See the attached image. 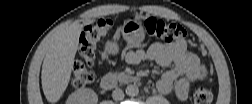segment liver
Returning <instances> with one entry per match:
<instances>
[{
	"instance_id": "6515ba94",
	"label": "liver",
	"mask_w": 252,
	"mask_h": 104,
	"mask_svg": "<svg viewBox=\"0 0 252 104\" xmlns=\"http://www.w3.org/2000/svg\"><path fill=\"white\" fill-rule=\"evenodd\" d=\"M94 21L95 19H89L83 24L76 21L58 29L54 34L47 48L41 72L42 88L48 102H58L65 92L83 26Z\"/></svg>"
}]
</instances>
